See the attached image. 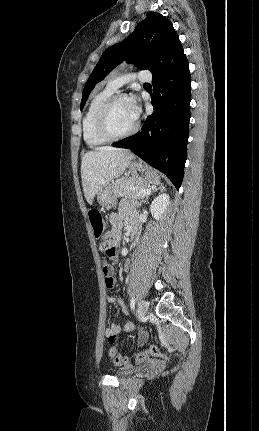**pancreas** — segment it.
<instances>
[{
  "label": "pancreas",
  "instance_id": "obj_1",
  "mask_svg": "<svg viewBox=\"0 0 259 431\" xmlns=\"http://www.w3.org/2000/svg\"><path fill=\"white\" fill-rule=\"evenodd\" d=\"M147 187L148 185L141 180L133 177H122L115 181L112 191L115 197L142 199L143 196H138L137 193Z\"/></svg>",
  "mask_w": 259,
  "mask_h": 431
}]
</instances>
